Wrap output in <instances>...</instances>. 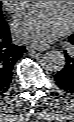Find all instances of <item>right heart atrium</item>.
<instances>
[{
	"instance_id": "right-heart-atrium-1",
	"label": "right heart atrium",
	"mask_w": 74,
	"mask_h": 122,
	"mask_svg": "<svg viewBox=\"0 0 74 122\" xmlns=\"http://www.w3.org/2000/svg\"><path fill=\"white\" fill-rule=\"evenodd\" d=\"M8 12L18 14L26 5L27 1H2Z\"/></svg>"
}]
</instances>
